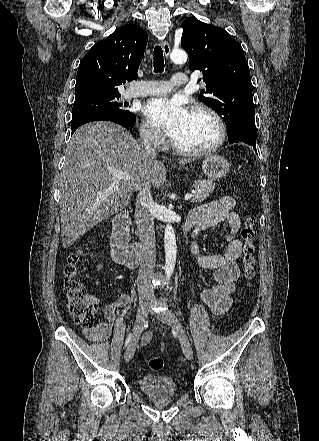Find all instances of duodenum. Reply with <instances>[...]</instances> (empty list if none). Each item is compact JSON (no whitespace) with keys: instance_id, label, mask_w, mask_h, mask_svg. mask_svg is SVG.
Segmentation results:
<instances>
[{"instance_id":"duodenum-1","label":"duodenum","mask_w":319,"mask_h":441,"mask_svg":"<svg viewBox=\"0 0 319 441\" xmlns=\"http://www.w3.org/2000/svg\"><path fill=\"white\" fill-rule=\"evenodd\" d=\"M129 214L127 210L119 212L113 221L110 247L112 258L118 264L128 268L138 266L144 246L142 244H128ZM188 227L185 225L184 230Z\"/></svg>"}]
</instances>
